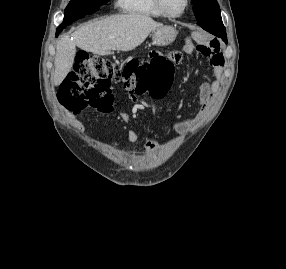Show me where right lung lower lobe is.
I'll list each match as a JSON object with an SVG mask.
<instances>
[{
	"instance_id": "obj_1",
	"label": "right lung lower lobe",
	"mask_w": 286,
	"mask_h": 269,
	"mask_svg": "<svg viewBox=\"0 0 286 269\" xmlns=\"http://www.w3.org/2000/svg\"><path fill=\"white\" fill-rule=\"evenodd\" d=\"M59 33H60V32L56 31V36H58V35H59Z\"/></svg>"
}]
</instances>
